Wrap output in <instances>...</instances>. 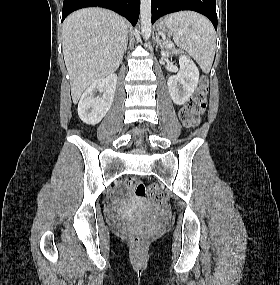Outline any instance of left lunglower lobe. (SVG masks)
Masks as SVG:
<instances>
[{
	"instance_id": "left-lung-lower-lobe-1",
	"label": "left lung lower lobe",
	"mask_w": 280,
	"mask_h": 285,
	"mask_svg": "<svg viewBox=\"0 0 280 285\" xmlns=\"http://www.w3.org/2000/svg\"><path fill=\"white\" fill-rule=\"evenodd\" d=\"M151 9L152 24L166 14L192 10L208 17L217 30L216 0H151Z\"/></svg>"
}]
</instances>
